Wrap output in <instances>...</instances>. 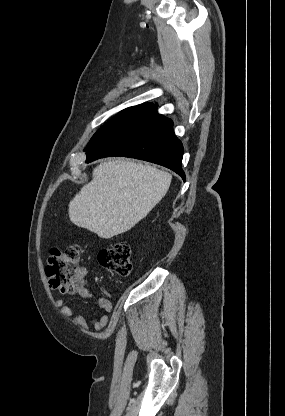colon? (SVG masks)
<instances>
[{
    "label": "colon",
    "instance_id": "1",
    "mask_svg": "<svg viewBox=\"0 0 285 416\" xmlns=\"http://www.w3.org/2000/svg\"><path fill=\"white\" fill-rule=\"evenodd\" d=\"M81 249L71 245L64 250L53 249L48 259L46 273L51 287L64 293H73L84 284L83 269L79 265ZM98 261L106 269L123 277L131 273V247L127 241L98 252Z\"/></svg>",
    "mask_w": 285,
    "mask_h": 416
}]
</instances>
